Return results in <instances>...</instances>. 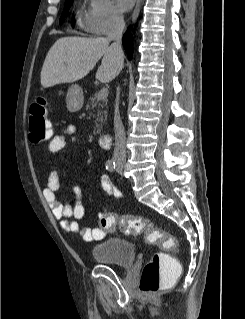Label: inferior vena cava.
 I'll return each mask as SVG.
<instances>
[{
	"instance_id": "602c4592",
	"label": "inferior vena cava",
	"mask_w": 245,
	"mask_h": 319,
	"mask_svg": "<svg viewBox=\"0 0 245 319\" xmlns=\"http://www.w3.org/2000/svg\"><path fill=\"white\" fill-rule=\"evenodd\" d=\"M123 16L114 12L110 20V29L107 35L108 41H113L110 48L115 53L118 59H123V51L121 47L122 34L124 30ZM119 89H117V100L114 110V132H115V148H114V160L116 162L126 161V135L125 129L120 117L119 104H118Z\"/></svg>"
}]
</instances>
